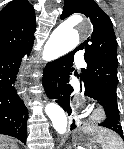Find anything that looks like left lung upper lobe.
<instances>
[{"label": "left lung upper lobe", "mask_w": 124, "mask_h": 149, "mask_svg": "<svg viewBox=\"0 0 124 149\" xmlns=\"http://www.w3.org/2000/svg\"><path fill=\"white\" fill-rule=\"evenodd\" d=\"M83 13L93 25L92 34L73 52L85 49L87 68L82 69L80 78L117 97V41L108 15L93 0H65L61 19L73 13Z\"/></svg>", "instance_id": "left-lung-upper-lobe-1"}]
</instances>
